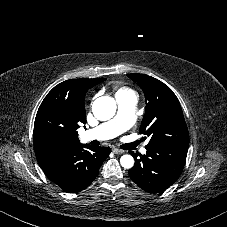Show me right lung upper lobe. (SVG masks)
<instances>
[{
	"label": "right lung upper lobe",
	"mask_w": 227,
	"mask_h": 227,
	"mask_svg": "<svg viewBox=\"0 0 227 227\" xmlns=\"http://www.w3.org/2000/svg\"><path fill=\"white\" fill-rule=\"evenodd\" d=\"M104 78H82L64 81L55 86L41 103L34 124V149L38 163L41 164L59 154L65 153L80 144L79 139L63 146L48 147L37 137V125L40 120L48 118L71 119L80 124L86 123L84 97L87 90Z\"/></svg>",
	"instance_id": "right-lung-upper-lobe-1"
}]
</instances>
